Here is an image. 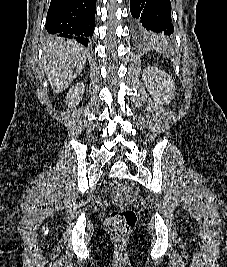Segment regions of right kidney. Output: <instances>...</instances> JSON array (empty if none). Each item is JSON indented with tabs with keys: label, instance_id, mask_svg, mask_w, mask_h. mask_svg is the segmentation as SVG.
<instances>
[{
	"label": "right kidney",
	"instance_id": "ca27d5eb",
	"mask_svg": "<svg viewBox=\"0 0 227 267\" xmlns=\"http://www.w3.org/2000/svg\"><path fill=\"white\" fill-rule=\"evenodd\" d=\"M84 91L85 85L83 83H77L72 86L66 96V103H68V106L71 107L77 105L82 100Z\"/></svg>",
	"mask_w": 227,
	"mask_h": 267
}]
</instances>
